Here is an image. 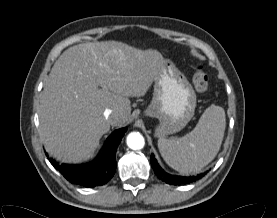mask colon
Segmentation results:
<instances>
[{
    "instance_id": "1",
    "label": "colon",
    "mask_w": 277,
    "mask_h": 218,
    "mask_svg": "<svg viewBox=\"0 0 277 218\" xmlns=\"http://www.w3.org/2000/svg\"><path fill=\"white\" fill-rule=\"evenodd\" d=\"M192 83L198 93L204 94L207 92L209 87L208 76L202 66H197L194 69Z\"/></svg>"
}]
</instances>
